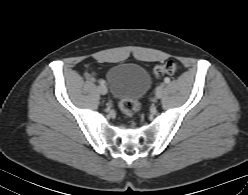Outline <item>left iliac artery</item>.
Listing matches in <instances>:
<instances>
[{
	"instance_id": "44dca946",
	"label": "left iliac artery",
	"mask_w": 248,
	"mask_h": 195,
	"mask_svg": "<svg viewBox=\"0 0 248 195\" xmlns=\"http://www.w3.org/2000/svg\"><path fill=\"white\" fill-rule=\"evenodd\" d=\"M164 82H165V83H169V82H170V79L167 77V78L164 79ZM157 88H158V87H157Z\"/></svg>"
}]
</instances>
